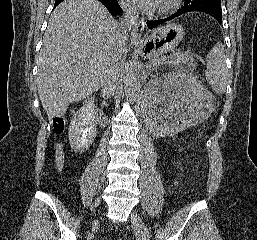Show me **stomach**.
I'll list each match as a JSON object with an SVG mask.
<instances>
[{"label": "stomach", "instance_id": "stomach-1", "mask_svg": "<svg viewBox=\"0 0 257 240\" xmlns=\"http://www.w3.org/2000/svg\"><path fill=\"white\" fill-rule=\"evenodd\" d=\"M184 30L179 24H167L153 31L143 41L139 50L142 56L150 58L172 51L183 39Z\"/></svg>", "mask_w": 257, "mask_h": 240}]
</instances>
